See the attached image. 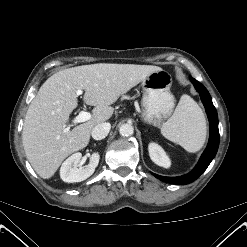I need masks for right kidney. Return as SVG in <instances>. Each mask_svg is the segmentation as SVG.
<instances>
[{
    "instance_id": "right-kidney-1",
    "label": "right kidney",
    "mask_w": 247,
    "mask_h": 247,
    "mask_svg": "<svg viewBox=\"0 0 247 247\" xmlns=\"http://www.w3.org/2000/svg\"><path fill=\"white\" fill-rule=\"evenodd\" d=\"M81 158L82 154L77 152L63 162L60 168V177L64 182H81L94 173L95 168L98 166L100 155L98 153H93L90 156L88 165L84 168H77V164L80 162Z\"/></svg>"
}]
</instances>
